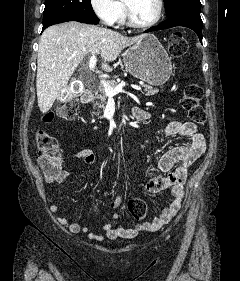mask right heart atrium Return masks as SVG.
<instances>
[{
  "instance_id": "d8ad5b80",
  "label": "right heart atrium",
  "mask_w": 240,
  "mask_h": 281,
  "mask_svg": "<svg viewBox=\"0 0 240 281\" xmlns=\"http://www.w3.org/2000/svg\"><path fill=\"white\" fill-rule=\"evenodd\" d=\"M93 13L106 25L116 24L122 13L118 0H89Z\"/></svg>"
}]
</instances>
